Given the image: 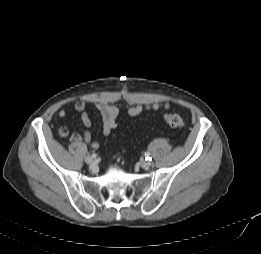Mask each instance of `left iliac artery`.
Segmentation results:
<instances>
[{
	"mask_svg": "<svg viewBox=\"0 0 261 254\" xmlns=\"http://www.w3.org/2000/svg\"><path fill=\"white\" fill-rule=\"evenodd\" d=\"M145 158H146V160L151 161V157H150L149 152H145Z\"/></svg>",
	"mask_w": 261,
	"mask_h": 254,
	"instance_id": "44dca946",
	"label": "left iliac artery"
}]
</instances>
